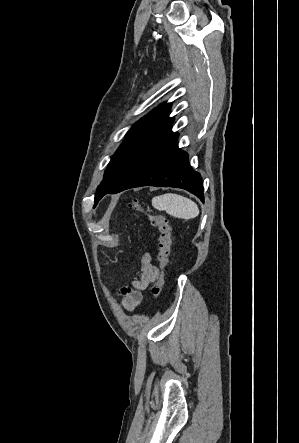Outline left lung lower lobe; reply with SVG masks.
<instances>
[{"mask_svg": "<svg viewBox=\"0 0 299 443\" xmlns=\"http://www.w3.org/2000/svg\"><path fill=\"white\" fill-rule=\"evenodd\" d=\"M178 134H171L136 162L107 193H118L139 186L185 189L203 201L201 175L188 162V155L177 146Z\"/></svg>", "mask_w": 299, "mask_h": 443, "instance_id": "left-lung-lower-lobe-1", "label": "left lung lower lobe"}]
</instances>
